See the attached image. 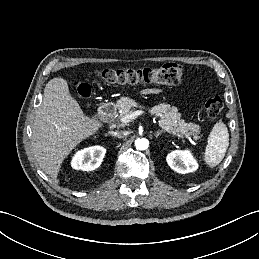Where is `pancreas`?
<instances>
[{
  "label": "pancreas",
  "mask_w": 259,
  "mask_h": 259,
  "mask_svg": "<svg viewBox=\"0 0 259 259\" xmlns=\"http://www.w3.org/2000/svg\"><path fill=\"white\" fill-rule=\"evenodd\" d=\"M137 106L138 103L135 100L129 97H121L116 103V108L121 112L116 117L121 119L123 116L132 113V109ZM150 111L160 118L159 124L166 132L181 138L192 137L194 140L201 138L200 127L195 123H186L181 120V114L178 113L176 107L167 103H160L153 106Z\"/></svg>",
  "instance_id": "obj_1"
}]
</instances>
